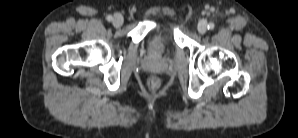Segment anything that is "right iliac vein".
Wrapping results in <instances>:
<instances>
[{
    "instance_id": "right-iliac-vein-1",
    "label": "right iliac vein",
    "mask_w": 298,
    "mask_h": 138,
    "mask_svg": "<svg viewBox=\"0 0 298 138\" xmlns=\"http://www.w3.org/2000/svg\"><path fill=\"white\" fill-rule=\"evenodd\" d=\"M123 17L120 14H116L113 18V25L115 27H120L123 24Z\"/></svg>"
}]
</instances>
